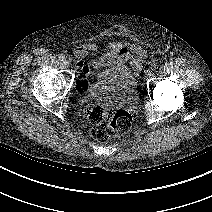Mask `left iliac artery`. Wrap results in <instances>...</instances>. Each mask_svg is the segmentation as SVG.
<instances>
[{
  "label": "left iliac artery",
  "instance_id": "1",
  "mask_svg": "<svg viewBox=\"0 0 212 212\" xmlns=\"http://www.w3.org/2000/svg\"><path fill=\"white\" fill-rule=\"evenodd\" d=\"M157 69V64H152L151 70L155 71Z\"/></svg>",
  "mask_w": 212,
  "mask_h": 212
}]
</instances>
